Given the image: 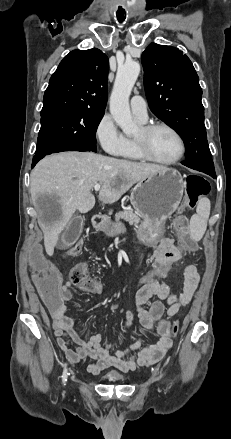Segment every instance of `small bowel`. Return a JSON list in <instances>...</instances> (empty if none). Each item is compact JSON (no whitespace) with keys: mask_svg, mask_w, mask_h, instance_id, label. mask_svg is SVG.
<instances>
[{"mask_svg":"<svg viewBox=\"0 0 231 439\" xmlns=\"http://www.w3.org/2000/svg\"><path fill=\"white\" fill-rule=\"evenodd\" d=\"M181 255V250L170 239L161 240L154 253V265L165 264L174 255ZM174 266V264H171ZM167 274V273H166ZM183 288L178 294L171 291L170 283H141L134 290L136 315L140 325L145 330L154 333V323L159 319L165 308L162 302L157 301L146 309L144 306L151 298H159L167 304L166 313L172 317L192 300L198 287L199 274L196 267L189 265L184 269ZM75 284L71 281L60 283L57 293L60 294L59 311L50 313L53 321V330L59 347L72 362H80L86 358L94 360L88 365L91 374H98L108 367H115L127 372L137 367L148 366L160 361L172 347L171 338H160L154 343H144L141 337L124 349H116V342H108L101 333L85 336L75 318L66 315V303L72 298V288ZM38 288V287H37ZM100 292L96 293L99 294ZM134 320V313L127 309L124 312V328H129Z\"/></svg>","mask_w":231,"mask_h":439,"instance_id":"obj_1","label":"small bowel"}]
</instances>
